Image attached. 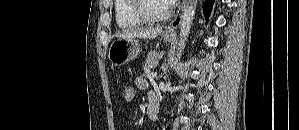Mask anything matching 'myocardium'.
<instances>
[{
    "label": "myocardium",
    "mask_w": 299,
    "mask_h": 130,
    "mask_svg": "<svg viewBox=\"0 0 299 130\" xmlns=\"http://www.w3.org/2000/svg\"><path fill=\"white\" fill-rule=\"evenodd\" d=\"M154 0H134L133 8L135 14L148 23H156L167 20L172 14V7L167 5L164 14L156 15L150 11L149 2Z\"/></svg>",
    "instance_id": "f54148a6"
}]
</instances>
